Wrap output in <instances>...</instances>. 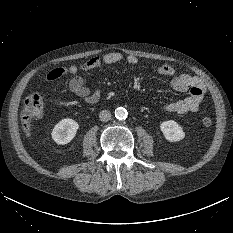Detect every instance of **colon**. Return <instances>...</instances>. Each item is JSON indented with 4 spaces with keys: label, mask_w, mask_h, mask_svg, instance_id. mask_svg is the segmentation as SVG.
<instances>
[{
    "label": "colon",
    "mask_w": 233,
    "mask_h": 233,
    "mask_svg": "<svg viewBox=\"0 0 233 233\" xmlns=\"http://www.w3.org/2000/svg\"><path fill=\"white\" fill-rule=\"evenodd\" d=\"M43 108L44 101L40 94L33 93L26 98L20 115L22 126L26 132H30L33 120L41 116ZM201 122L205 127L212 125V120L209 117L202 118Z\"/></svg>",
    "instance_id": "obj_1"
}]
</instances>
